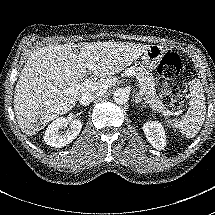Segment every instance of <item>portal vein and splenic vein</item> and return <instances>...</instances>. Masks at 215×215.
Wrapping results in <instances>:
<instances>
[{
	"label": "portal vein and splenic vein",
	"mask_w": 215,
	"mask_h": 215,
	"mask_svg": "<svg viewBox=\"0 0 215 215\" xmlns=\"http://www.w3.org/2000/svg\"><path fill=\"white\" fill-rule=\"evenodd\" d=\"M125 75H126V76H133V75H134V72H132V71H126ZM137 80L140 81V78L137 79ZM83 83H84V87H89V86L91 87V86H94V87H96L97 89H99V88L106 89L107 86L113 84L111 81H103V82L99 83V82H96V81H95L93 78H91V77H87L86 79H84V80H83ZM140 84H141V83H140ZM79 88H80V89H83L82 86L79 87ZM138 95L141 97V99H143V100L145 99V93H144V90H143V88L141 87V85H140V89H139V94H138ZM145 103H147V102L145 101ZM162 113H163V115H165V116L172 115V112H171L170 110H163Z\"/></svg>",
	"instance_id": "portal-vein-and-splenic-vein-1"
}]
</instances>
